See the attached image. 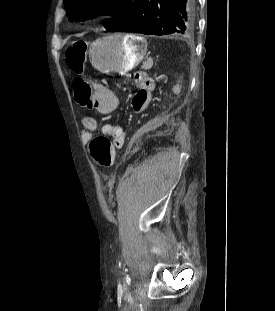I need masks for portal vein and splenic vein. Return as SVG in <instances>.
I'll return each instance as SVG.
<instances>
[{
	"label": "portal vein and splenic vein",
	"mask_w": 275,
	"mask_h": 311,
	"mask_svg": "<svg viewBox=\"0 0 275 311\" xmlns=\"http://www.w3.org/2000/svg\"><path fill=\"white\" fill-rule=\"evenodd\" d=\"M152 64H153L152 60L149 59V60L147 61V66H146V67L149 68V67L152 66Z\"/></svg>",
	"instance_id": "18ae733b"
}]
</instances>
